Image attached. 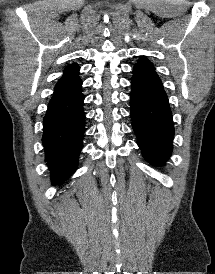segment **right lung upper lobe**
Here are the masks:
<instances>
[{"mask_svg": "<svg viewBox=\"0 0 215 274\" xmlns=\"http://www.w3.org/2000/svg\"><path fill=\"white\" fill-rule=\"evenodd\" d=\"M79 69L80 68L77 64H71L65 68L63 76L55 86L50 103L68 97L81 87L82 81L78 76Z\"/></svg>", "mask_w": 215, "mask_h": 274, "instance_id": "cb5924a9", "label": "right lung upper lobe"}]
</instances>
